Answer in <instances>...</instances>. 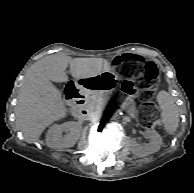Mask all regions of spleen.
Returning a JSON list of instances; mask_svg holds the SVG:
<instances>
[{
	"instance_id": "3e777b00",
	"label": "spleen",
	"mask_w": 194,
	"mask_h": 193,
	"mask_svg": "<svg viewBox=\"0 0 194 193\" xmlns=\"http://www.w3.org/2000/svg\"><path fill=\"white\" fill-rule=\"evenodd\" d=\"M157 100L162 109L161 118L164 129L172 135L176 132L179 124V113L175 100L166 91H160Z\"/></svg>"
}]
</instances>
